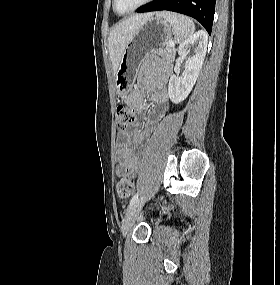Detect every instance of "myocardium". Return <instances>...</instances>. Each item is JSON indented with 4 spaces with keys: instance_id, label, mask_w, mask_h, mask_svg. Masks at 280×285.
<instances>
[{
    "instance_id": "1",
    "label": "myocardium",
    "mask_w": 280,
    "mask_h": 285,
    "mask_svg": "<svg viewBox=\"0 0 280 285\" xmlns=\"http://www.w3.org/2000/svg\"><path fill=\"white\" fill-rule=\"evenodd\" d=\"M152 0H142L139 4H137L134 8L126 11V12H119L118 9H117V0H113V8H114V11L119 14V15H126V14H129V13H132L136 10H138L139 8L143 7L144 5L148 4L149 2H151Z\"/></svg>"
}]
</instances>
